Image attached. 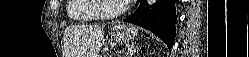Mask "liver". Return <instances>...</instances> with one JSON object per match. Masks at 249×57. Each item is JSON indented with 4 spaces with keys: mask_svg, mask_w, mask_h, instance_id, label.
I'll list each match as a JSON object with an SVG mask.
<instances>
[{
    "mask_svg": "<svg viewBox=\"0 0 249 57\" xmlns=\"http://www.w3.org/2000/svg\"><path fill=\"white\" fill-rule=\"evenodd\" d=\"M103 25L73 26L66 29L72 57H97L104 45Z\"/></svg>",
    "mask_w": 249,
    "mask_h": 57,
    "instance_id": "liver-1",
    "label": "liver"
}]
</instances>
